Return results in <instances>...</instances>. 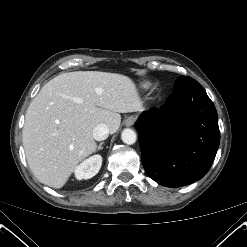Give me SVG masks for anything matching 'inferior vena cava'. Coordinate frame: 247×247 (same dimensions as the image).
Masks as SVG:
<instances>
[{"label":"inferior vena cava","mask_w":247,"mask_h":247,"mask_svg":"<svg viewBox=\"0 0 247 247\" xmlns=\"http://www.w3.org/2000/svg\"><path fill=\"white\" fill-rule=\"evenodd\" d=\"M109 136V128L106 124H98L93 129V138L97 141L105 140Z\"/></svg>","instance_id":"602c4592"}]
</instances>
